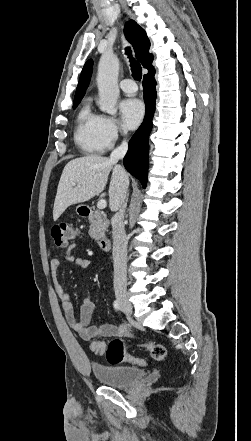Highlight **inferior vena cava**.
I'll return each instance as SVG.
<instances>
[{
  "label": "inferior vena cava",
  "instance_id": "obj_1",
  "mask_svg": "<svg viewBox=\"0 0 251 441\" xmlns=\"http://www.w3.org/2000/svg\"><path fill=\"white\" fill-rule=\"evenodd\" d=\"M127 134V131H124ZM128 149L126 140L114 149L110 155V161L117 162L122 159ZM124 181L126 183V190L121 197V202L115 209L111 224L113 234V261H114V291L116 294L126 293L127 286V243L128 238L125 234L124 228V213L127 200L128 176L124 174Z\"/></svg>",
  "mask_w": 251,
  "mask_h": 441
}]
</instances>
